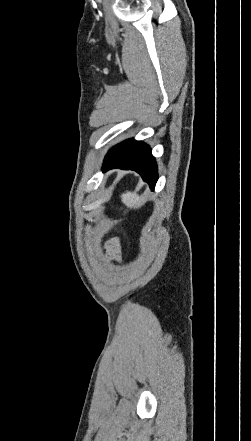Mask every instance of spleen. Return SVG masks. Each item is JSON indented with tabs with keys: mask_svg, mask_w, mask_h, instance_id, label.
<instances>
[{
	"mask_svg": "<svg viewBox=\"0 0 251 441\" xmlns=\"http://www.w3.org/2000/svg\"><path fill=\"white\" fill-rule=\"evenodd\" d=\"M121 201L128 207H139L142 205V198L138 194L129 191L121 195Z\"/></svg>",
	"mask_w": 251,
	"mask_h": 441,
	"instance_id": "spleen-1",
	"label": "spleen"
}]
</instances>
